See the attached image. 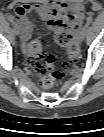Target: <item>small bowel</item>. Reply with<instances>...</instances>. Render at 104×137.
Wrapping results in <instances>:
<instances>
[{"label": "small bowel", "mask_w": 104, "mask_h": 137, "mask_svg": "<svg viewBox=\"0 0 104 137\" xmlns=\"http://www.w3.org/2000/svg\"><path fill=\"white\" fill-rule=\"evenodd\" d=\"M85 7L82 3H66L50 0L43 4L19 5L14 10L16 22L21 29L22 50L28 56V44L33 31L29 15L38 14L51 29H66L78 33L84 21Z\"/></svg>", "instance_id": "c3829d8e"}]
</instances>
